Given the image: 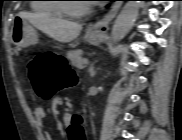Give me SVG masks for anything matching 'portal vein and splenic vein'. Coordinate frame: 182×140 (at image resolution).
<instances>
[{
	"label": "portal vein and splenic vein",
	"mask_w": 182,
	"mask_h": 140,
	"mask_svg": "<svg viewBox=\"0 0 182 140\" xmlns=\"http://www.w3.org/2000/svg\"><path fill=\"white\" fill-rule=\"evenodd\" d=\"M82 63L85 64V65L89 64V60L88 59H83Z\"/></svg>",
	"instance_id": "obj_1"
}]
</instances>
